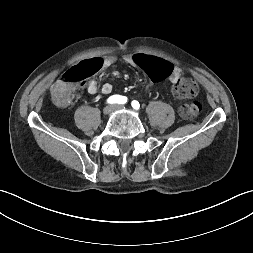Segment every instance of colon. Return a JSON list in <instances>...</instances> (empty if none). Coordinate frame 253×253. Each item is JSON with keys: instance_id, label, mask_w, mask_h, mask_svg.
<instances>
[{"instance_id": "obj_1", "label": "colon", "mask_w": 253, "mask_h": 253, "mask_svg": "<svg viewBox=\"0 0 253 253\" xmlns=\"http://www.w3.org/2000/svg\"><path fill=\"white\" fill-rule=\"evenodd\" d=\"M136 62L153 80H160L167 77L172 70L168 62L162 61L158 55H149L139 52L136 55ZM101 68L99 59H90L68 69L62 78L52 88V96L59 105H66L71 99L72 86L96 74ZM198 87L194 80L181 78L174 85V93L182 98H190L197 94ZM202 105L198 101L183 104L180 107V115L184 119H193L201 112Z\"/></svg>"}]
</instances>
